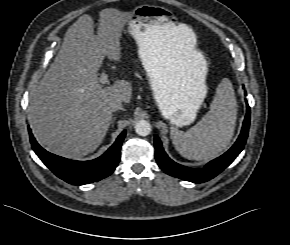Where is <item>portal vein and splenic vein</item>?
I'll list each match as a JSON object with an SVG mask.
<instances>
[{
	"label": "portal vein and splenic vein",
	"instance_id": "1",
	"mask_svg": "<svg viewBox=\"0 0 290 245\" xmlns=\"http://www.w3.org/2000/svg\"><path fill=\"white\" fill-rule=\"evenodd\" d=\"M99 82L104 85V84H107L108 83V75L107 74H102L100 77H99Z\"/></svg>",
	"mask_w": 290,
	"mask_h": 245
}]
</instances>
